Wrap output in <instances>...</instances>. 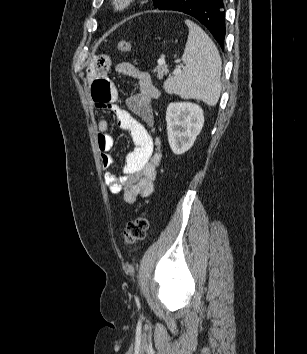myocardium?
Returning a JSON list of instances; mask_svg holds the SVG:
<instances>
[{"mask_svg": "<svg viewBox=\"0 0 307 354\" xmlns=\"http://www.w3.org/2000/svg\"><path fill=\"white\" fill-rule=\"evenodd\" d=\"M136 0H112L113 8L118 11H124L132 6Z\"/></svg>", "mask_w": 307, "mask_h": 354, "instance_id": "1", "label": "myocardium"}]
</instances>
